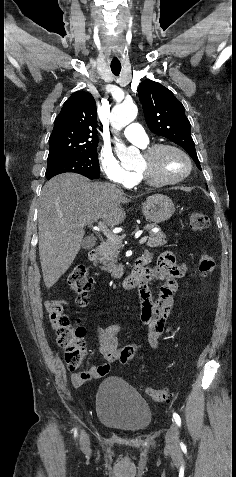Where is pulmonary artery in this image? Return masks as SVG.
<instances>
[{"label":"pulmonary artery","instance_id":"1","mask_svg":"<svg viewBox=\"0 0 236 477\" xmlns=\"http://www.w3.org/2000/svg\"><path fill=\"white\" fill-rule=\"evenodd\" d=\"M124 136L131 142L145 147L148 144V137L143 127L138 123L128 124L124 131Z\"/></svg>","mask_w":236,"mask_h":477}]
</instances>
